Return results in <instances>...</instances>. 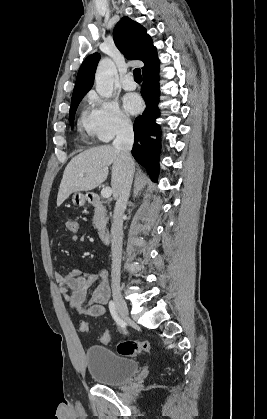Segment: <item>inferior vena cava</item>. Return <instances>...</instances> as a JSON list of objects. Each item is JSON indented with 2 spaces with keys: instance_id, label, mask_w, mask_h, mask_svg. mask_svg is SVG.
Segmentation results:
<instances>
[{
  "instance_id": "602c4592",
  "label": "inferior vena cava",
  "mask_w": 267,
  "mask_h": 419,
  "mask_svg": "<svg viewBox=\"0 0 267 419\" xmlns=\"http://www.w3.org/2000/svg\"><path fill=\"white\" fill-rule=\"evenodd\" d=\"M134 143V132L130 120H121L117 131L113 146L120 151L123 159L124 172L118 188V196L113 214V222L111 227V276L112 289H119L121 274V257H122V241H123V214L127 207L130 189L134 175V161L131 156V149Z\"/></svg>"
}]
</instances>
